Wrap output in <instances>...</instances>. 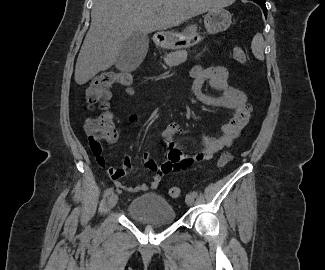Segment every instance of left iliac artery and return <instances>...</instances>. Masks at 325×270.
Segmentation results:
<instances>
[{"label": "left iliac artery", "mask_w": 325, "mask_h": 270, "mask_svg": "<svg viewBox=\"0 0 325 270\" xmlns=\"http://www.w3.org/2000/svg\"><path fill=\"white\" fill-rule=\"evenodd\" d=\"M191 195L194 196V197H197V196H198V193H197L196 191H193V192L191 193Z\"/></svg>", "instance_id": "obj_1"}]
</instances>
